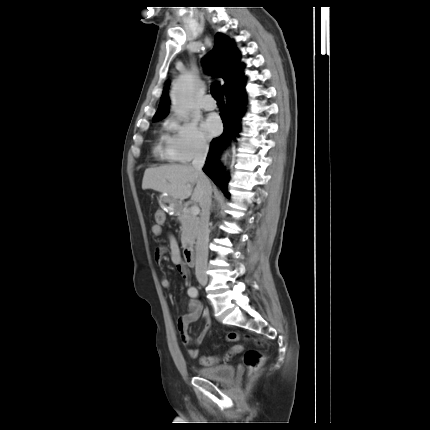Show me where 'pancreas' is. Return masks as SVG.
<instances>
[{"instance_id":"cf45deb5","label":"pancreas","mask_w":430,"mask_h":430,"mask_svg":"<svg viewBox=\"0 0 430 430\" xmlns=\"http://www.w3.org/2000/svg\"><path fill=\"white\" fill-rule=\"evenodd\" d=\"M178 220L181 223V242L186 246L197 236L199 218L191 213V208L186 207L181 210Z\"/></svg>"}]
</instances>
